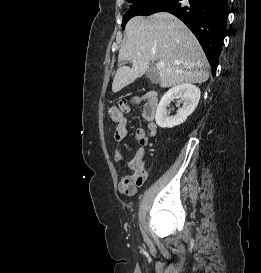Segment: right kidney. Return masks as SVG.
Wrapping results in <instances>:
<instances>
[{"label":"right kidney","instance_id":"right-kidney-1","mask_svg":"<svg viewBox=\"0 0 261 273\" xmlns=\"http://www.w3.org/2000/svg\"><path fill=\"white\" fill-rule=\"evenodd\" d=\"M200 89L192 84L185 83L169 89L161 98L157 107L155 120L161 128H173L186 121L198 105L200 100ZM179 99L183 102L182 108L178 109L177 114L168 116L167 106L172 100Z\"/></svg>","mask_w":261,"mask_h":273}]
</instances>
